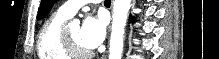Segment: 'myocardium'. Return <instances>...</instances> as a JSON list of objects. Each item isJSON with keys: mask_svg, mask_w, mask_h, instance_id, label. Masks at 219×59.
I'll return each instance as SVG.
<instances>
[{"mask_svg": "<svg viewBox=\"0 0 219 59\" xmlns=\"http://www.w3.org/2000/svg\"><path fill=\"white\" fill-rule=\"evenodd\" d=\"M62 41L65 51L71 58H87L92 55V51L88 49H81L75 45L68 34L67 27L63 28Z\"/></svg>", "mask_w": 219, "mask_h": 59, "instance_id": "obj_1", "label": "myocardium"}]
</instances>
